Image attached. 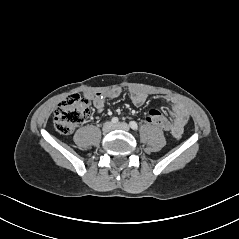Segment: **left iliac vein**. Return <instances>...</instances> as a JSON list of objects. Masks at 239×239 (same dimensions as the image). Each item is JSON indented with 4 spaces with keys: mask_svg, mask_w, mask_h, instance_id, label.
Instances as JSON below:
<instances>
[{
    "mask_svg": "<svg viewBox=\"0 0 239 239\" xmlns=\"http://www.w3.org/2000/svg\"><path fill=\"white\" fill-rule=\"evenodd\" d=\"M115 129H121V130H125V131H129L130 127L127 123L124 122H120L114 125Z\"/></svg>",
    "mask_w": 239,
    "mask_h": 239,
    "instance_id": "1",
    "label": "left iliac vein"
}]
</instances>
